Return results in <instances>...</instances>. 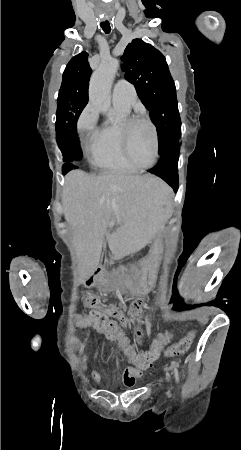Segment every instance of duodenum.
Wrapping results in <instances>:
<instances>
[{"mask_svg": "<svg viewBox=\"0 0 241 450\" xmlns=\"http://www.w3.org/2000/svg\"><path fill=\"white\" fill-rule=\"evenodd\" d=\"M103 276H104V272L101 268L94 269L89 277V284L95 285V284L100 283L103 279Z\"/></svg>", "mask_w": 241, "mask_h": 450, "instance_id": "1", "label": "duodenum"}]
</instances>
